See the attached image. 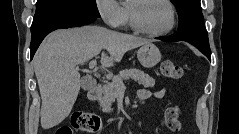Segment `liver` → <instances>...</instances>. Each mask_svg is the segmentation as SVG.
Instances as JSON below:
<instances>
[{"label":"liver","mask_w":239,"mask_h":134,"mask_svg":"<svg viewBox=\"0 0 239 134\" xmlns=\"http://www.w3.org/2000/svg\"><path fill=\"white\" fill-rule=\"evenodd\" d=\"M150 41L99 26L57 30L49 34L37 50L34 71L42 99L43 129L60 124L70 114L77 99L81 80L77 64L89 61L103 49L101 63L113 66L124 54Z\"/></svg>","instance_id":"obj_1"}]
</instances>
